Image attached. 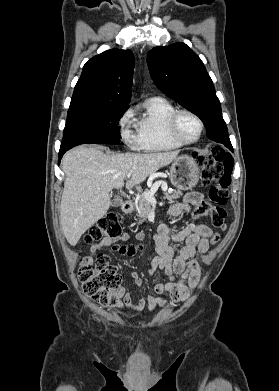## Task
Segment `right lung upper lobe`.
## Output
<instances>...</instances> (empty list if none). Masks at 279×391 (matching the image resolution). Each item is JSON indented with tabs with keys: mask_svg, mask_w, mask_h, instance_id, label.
Wrapping results in <instances>:
<instances>
[{
	"mask_svg": "<svg viewBox=\"0 0 279 391\" xmlns=\"http://www.w3.org/2000/svg\"><path fill=\"white\" fill-rule=\"evenodd\" d=\"M134 56L131 50L111 49L94 56L83 67L69 111L89 107H128Z\"/></svg>",
	"mask_w": 279,
	"mask_h": 391,
	"instance_id": "cb5924a9",
	"label": "right lung upper lobe"
}]
</instances>
